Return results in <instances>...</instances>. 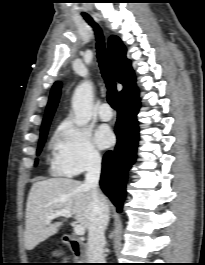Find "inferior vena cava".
<instances>
[{"label": "inferior vena cava", "instance_id": "obj_1", "mask_svg": "<svg viewBox=\"0 0 205 265\" xmlns=\"http://www.w3.org/2000/svg\"><path fill=\"white\" fill-rule=\"evenodd\" d=\"M101 172V157L98 153L89 156L84 185L92 190V215L89 225L87 256L89 263H104L105 230L109 222V208L98 194Z\"/></svg>", "mask_w": 205, "mask_h": 265}]
</instances>
